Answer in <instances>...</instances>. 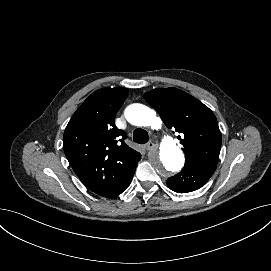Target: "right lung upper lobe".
<instances>
[{
  "instance_id": "obj_1",
  "label": "right lung upper lobe",
  "mask_w": 271,
  "mask_h": 271,
  "mask_svg": "<svg viewBox=\"0 0 271 271\" xmlns=\"http://www.w3.org/2000/svg\"><path fill=\"white\" fill-rule=\"evenodd\" d=\"M127 96L126 88L96 90L76 110L65 129V155L93 192L116 179L119 169L128 168L141 156L125 144L126 133L115 126L116 113Z\"/></svg>"
}]
</instances>
